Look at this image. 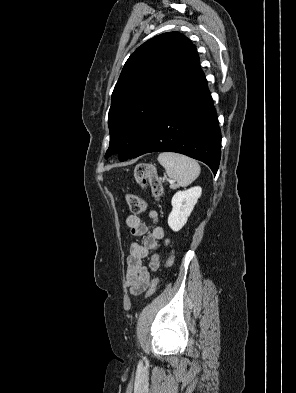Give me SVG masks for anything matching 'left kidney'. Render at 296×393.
<instances>
[{"label": "left kidney", "mask_w": 296, "mask_h": 393, "mask_svg": "<svg viewBox=\"0 0 296 393\" xmlns=\"http://www.w3.org/2000/svg\"><path fill=\"white\" fill-rule=\"evenodd\" d=\"M201 193L202 188L196 186L174 194L171 200L173 208L168 217V225L174 232H178L186 224Z\"/></svg>", "instance_id": "left-kidney-1"}]
</instances>
